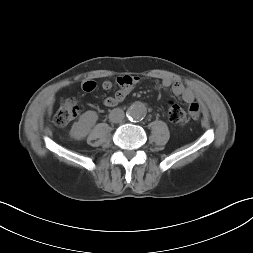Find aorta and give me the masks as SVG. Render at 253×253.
I'll return each mask as SVG.
<instances>
[{
    "label": "aorta",
    "instance_id": "1",
    "mask_svg": "<svg viewBox=\"0 0 253 253\" xmlns=\"http://www.w3.org/2000/svg\"><path fill=\"white\" fill-rule=\"evenodd\" d=\"M127 116L131 120H142L146 116V110L141 105H132L127 111Z\"/></svg>",
    "mask_w": 253,
    "mask_h": 253
}]
</instances>
